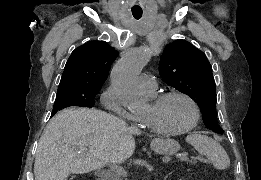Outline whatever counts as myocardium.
I'll return each instance as SVG.
<instances>
[{
	"label": "myocardium",
	"mask_w": 261,
	"mask_h": 180,
	"mask_svg": "<svg viewBox=\"0 0 261 180\" xmlns=\"http://www.w3.org/2000/svg\"><path fill=\"white\" fill-rule=\"evenodd\" d=\"M173 96L182 97L186 101H188L189 104L191 105V107L193 109V117H192L190 124L187 126L186 129H184L183 131H181L179 133L165 135V136H158L151 130V128L147 124L143 123L139 119H136L139 129L147 138H150V139L163 138V139H169V140L182 139L185 136H187L197 126V124L200 120L201 110H200V107H199V104L197 103V101L190 94H188L184 91H181V90H170V91L161 92V93H153V94H150L148 97L151 100V103L153 105H158L163 100L173 97Z\"/></svg>",
	"instance_id": "myocardium-1"
}]
</instances>
